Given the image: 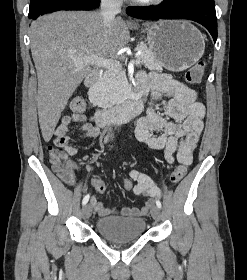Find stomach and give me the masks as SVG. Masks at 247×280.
<instances>
[{
  "label": "stomach",
  "mask_w": 247,
  "mask_h": 280,
  "mask_svg": "<svg viewBox=\"0 0 247 280\" xmlns=\"http://www.w3.org/2000/svg\"><path fill=\"white\" fill-rule=\"evenodd\" d=\"M145 31L155 60L170 71H184L203 56L204 37L188 21H159L147 25Z\"/></svg>",
  "instance_id": "0dacf381"
}]
</instances>
